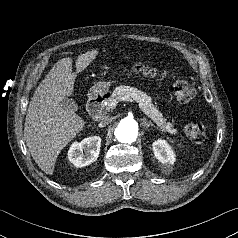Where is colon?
Here are the masks:
<instances>
[{"instance_id": "colon-1", "label": "colon", "mask_w": 238, "mask_h": 238, "mask_svg": "<svg viewBox=\"0 0 238 238\" xmlns=\"http://www.w3.org/2000/svg\"><path fill=\"white\" fill-rule=\"evenodd\" d=\"M132 71L136 74H142L148 77L157 76V70L153 67L146 66L142 63H135ZM174 95L178 102L188 103L196 94L195 88L186 83L185 81L178 80L173 85ZM184 132L194 142L201 144L205 139V128L198 123H188L184 127Z\"/></svg>"}]
</instances>
